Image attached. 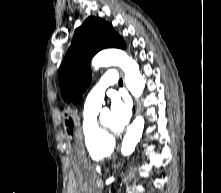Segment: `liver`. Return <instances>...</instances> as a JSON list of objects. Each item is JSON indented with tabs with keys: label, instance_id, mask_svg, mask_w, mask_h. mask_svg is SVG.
<instances>
[{
	"label": "liver",
	"instance_id": "liver-1",
	"mask_svg": "<svg viewBox=\"0 0 221 193\" xmlns=\"http://www.w3.org/2000/svg\"><path fill=\"white\" fill-rule=\"evenodd\" d=\"M75 188H76V183L73 182V184H72V191H73V192H71V193H75V192H74V189H75Z\"/></svg>",
	"mask_w": 221,
	"mask_h": 193
}]
</instances>
